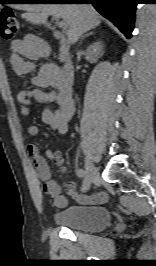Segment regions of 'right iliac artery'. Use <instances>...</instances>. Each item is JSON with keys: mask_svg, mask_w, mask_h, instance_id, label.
Segmentation results:
<instances>
[{"mask_svg": "<svg viewBox=\"0 0 156 266\" xmlns=\"http://www.w3.org/2000/svg\"><path fill=\"white\" fill-rule=\"evenodd\" d=\"M77 174H78L79 177H82V178H84L85 175H86V173H85V171L83 169H79ZM84 185H86V184H84Z\"/></svg>", "mask_w": 156, "mask_h": 266, "instance_id": "1", "label": "right iliac artery"}]
</instances>
